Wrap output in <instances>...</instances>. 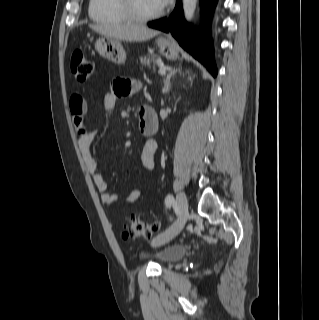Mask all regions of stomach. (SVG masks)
Wrapping results in <instances>:
<instances>
[{"instance_id": "stomach-1", "label": "stomach", "mask_w": 319, "mask_h": 320, "mask_svg": "<svg viewBox=\"0 0 319 320\" xmlns=\"http://www.w3.org/2000/svg\"><path fill=\"white\" fill-rule=\"evenodd\" d=\"M157 45L161 55L167 59L176 60L178 58V47L172 38L160 37L157 40ZM95 49L100 56L115 64H123L126 61V52L121 40L108 36L100 37L95 42Z\"/></svg>"}]
</instances>
